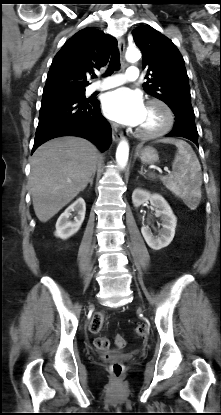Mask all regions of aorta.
<instances>
[{
    "label": "aorta",
    "instance_id": "762f6f07",
    "mask_svg": "<svg viewBox=\"0 0 221 415\" xmlns=\"http://www.w3.org/2000/svg\"><path fill=\"white\" fill-rule=\"evenodd\" d=\"M141 53L137 48L128 49L126 51V59L129 62H136L140 59ZM129 144L126 140H122L116 150L117 165L124 169L128 162Z\"/></svg>",
    "mask_w": 221,
    "mask_h": 415
}]
</instances>
